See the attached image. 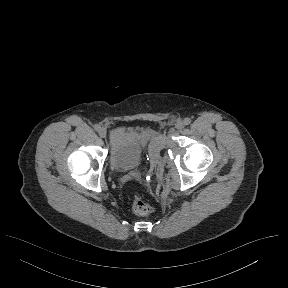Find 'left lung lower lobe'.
I'll return each mask as SVG.
<instances>
[{
  "label": "left lung lower lobe",
  "mask_w": 288,
  "mask_h": 288,
  "mask_svg": "<svg viewBox=\"0 0 288 288\" xmlns=\"http://www.w3.org/2000/svg\"><path fill=\"white\" fill-rule=\"evenodd\" d=\"M264 209L263 200L258 197L255 203L251 206V208L247 212V216H258Z\"/></svg>",
  "instance_id": "obj_1"
}]
</instances>
